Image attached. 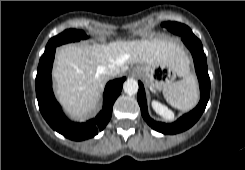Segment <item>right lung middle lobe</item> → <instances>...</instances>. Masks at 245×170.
Segmentation results:
<instances>
[{
  "label": "right lung middle lobe",
  "instance_id": "right-lung-middle-lobe-1",
  "mask_svg": "<svg viewBox=\"0 0 245 170\" xmlns=\"http://www.w3.org/2000/svg\"><path fill=\"white\" fill-rule=\"evenodd\" d=\"M85 38H87V36L81 30H75V29L65 30L63 33L49 40L48 44L46 45L45 52L61 44L72 42V41H79L80 39H85Z\"/></svg>",
  "mask_w": 245,
  "mask_h": 170
}]
</instances>
